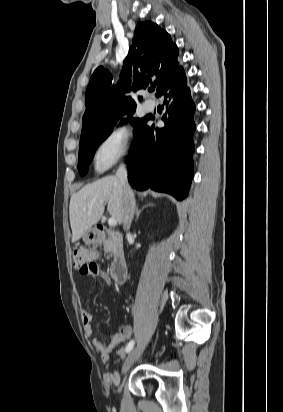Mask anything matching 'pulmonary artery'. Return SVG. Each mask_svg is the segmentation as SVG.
<instances>
[{
	"instance_id": "e3ab8cb5",
	"label": "pulmonary artery",
	"mask_w": 283,
	"mask_h": 412,
	"mask_svg": "<svg viewBox=\"0 0 283 412\" xmlns=\"http://www.w3.org/2000/svg\"><path fill=\"white\" fill-rule=\"evenodd\" d=\"M144 109H145V111L150 112V111H152V110L154 109V105H152V104H145V105H144Z\"/></svg>"
}]
</instances>
